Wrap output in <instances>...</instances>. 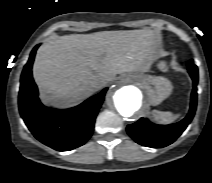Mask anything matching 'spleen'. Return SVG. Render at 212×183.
<instances>
[{"label": "spleen", "mask_w": 212, "mask_h": 183, "mask_svg": "<svg viewBox=\"0 0 212 183\" xmlns=\"http://www.w3.org/2000/svg\"><path fill=\"white\" fill-rule=\"evenodd\" d=\"M152 114L155 120L162 124L171 123L178 117V115H175L172 112H165L158 110H153Z\"/></svg>", "instance_id": "spleen-1"}]
</instances>
